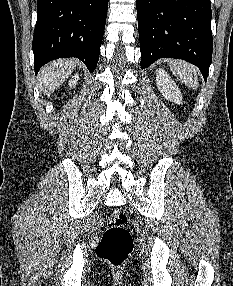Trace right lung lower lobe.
Wrapping results in <instances>:
<instances>
[{
  "label": "right lung lower lobe",
  "instance_id": "98d812e1",
  "mask_svg": "<svg viewBox=\"0 0 233 286\" xmlns=\"http://www.w3.org/2000/svg\"><path fill=\"white\" fill-rule=\"evenodd\" d=\"M108 0H37L33 36L37 74L56 58L76 57L90 72L96 68L103 38Z\"/></svg>",
  "mask_w": 233,
  "mask_h": 286
}]
</instances>
